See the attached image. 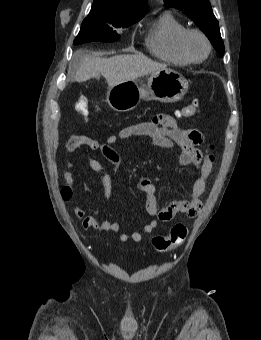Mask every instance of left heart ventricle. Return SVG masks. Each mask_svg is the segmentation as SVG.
Instances as JSON below:
<instances>
[{
  "label": "left heart ventricle",
  "mask_w": 261,
  "mask_h": 340,
  "mask_svg": "<svg viewBox=\"0 0 261 340\" xmlns=\"http://www.w3.org/2000/svg\"><path fill=\"white\" fill-rule=\"evenodd\" d=\"M187 50L192 57L201 59L205 56L207 47L204 40L198 35H191L187 39Z\"/></svg>",
  "instance_id": "1"
}]
</instances>
